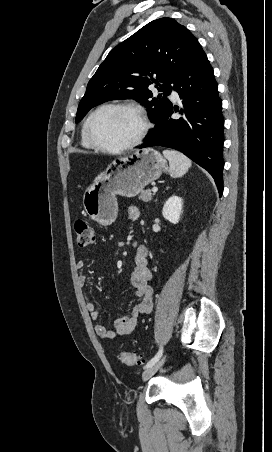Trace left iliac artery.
Segmentation results:
<instances>
[{
	"label": "left iliac artery",
	"mask_w": 272,
	"mask_h": 452,
	"mask_svg": "<svg viewBox=\"0 0 272 452\" xmlns=\"http://www.w3.org/2000/svg\"><path fill=\"white\" fill-rule=\"evenodd\" d=\"M162 353H163V348L161 347L159 349V351L157 352V354L146 364L145 368H148L151 365H153L154 363H156L162 356Z\"/></svg>",
	"instance_id": "obj_1"
}]
</instances>
